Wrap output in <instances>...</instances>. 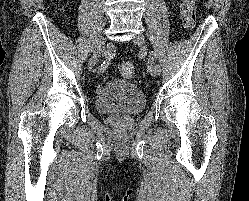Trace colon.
I'll list each match as a JSON object with an SVG mask.
<instances>
[{"label": "colon", "instance_id": "obj_1", "mask_svg": "<svg viewBox=\"0 0 249 201\" xmlns=\"http://www.w3.org/2000/svg\"><path fill=\"white\" fill-rule=\"evenodd\" d=\"M180 14L183 28L186 31L194 29L196 24V0H181ZM117 70L124 78H132L135 75V67L131 62H121Z\"/></svg>", "mask_w": 249, "mask_h": 201}]
</instances>
